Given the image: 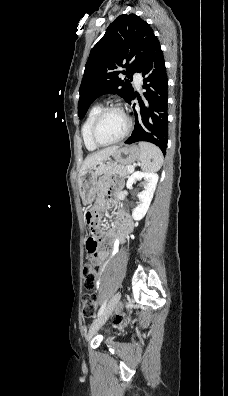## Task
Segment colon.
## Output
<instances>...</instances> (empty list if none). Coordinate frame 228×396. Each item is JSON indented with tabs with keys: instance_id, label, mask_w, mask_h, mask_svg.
I'll return each mask as SVG.
<instances>
[{
	"instance_id": "1",
	"label": "colon",
	"mask_w": 228,
	"mask_h": 396,
	"mask_svg": "<svg viewBox=\"0 0 228 396\" xmlns=\"http://www.w3.org/2000/svg\"><path fill=\"white\" fill-rule=\"evenodd\" d=\"M86 222L92 232L95 234L97 226L95 225L96 216L92 212H87L85 215ZM98 249V242L95 238L89 237L86 240V251L90 256V259L84 264L83 274L85 286L91 289L95 285L96 278L100 273L98 265L92 260V255ZM97 307V297L94 293H86L82 298V311L87 317L93 316ZM125 320V316L120 314L116 317V322L121 323Z\"/></svg>"
}]
</instances>
